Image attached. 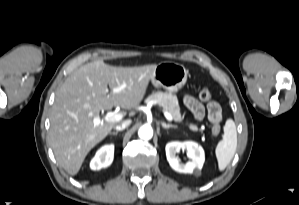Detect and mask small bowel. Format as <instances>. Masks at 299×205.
I'll return each mask as SVG.
<instances>
[{"label": "small bowel", "instance_id": "obj_1", "mask_svg": "<svg viewBox=\"0 0 299 205\" xmlns=\"http://www.w3.org/2000/svg\"><path fill=\"white\" fill-rule=\"evenodd\" d=\"M184 103H185L186 107L192 112V114L194 115V117L197 120H201L204 117L205 107L196 98H194L192 96H185ZM213 108H216L221 112V109H220V106L218 103L210 102L207 105L208 114H209V111Z\"/></svg>", "mask_w": 299, "mask_h": 205}]
</instances>
